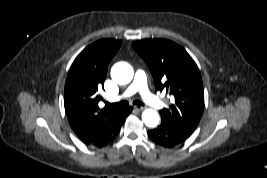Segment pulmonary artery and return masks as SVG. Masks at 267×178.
<instances>
[{
	"mask_svg": "<svg viewBox=\"0 0 267 178\" xmlns=\"http://www.w3.org/2000/svg\"><path fill=\"white\" fill-rule=\"evenodd\" d=\"M138 92L142 99L150 106L154 108H162L164 106L163 101L150 92L147 85V78L143 71L138 70L135 74L133 82L127 87L122 96L114 97L112 100H118L122 97H129Z\"/></svg>",
	"mask_w": 267,
	"mask_h": 178,
	"instance_id": "pulmonary-artery-1",
	"label": "pulmonary artery"
}]
</instances>
